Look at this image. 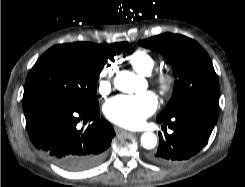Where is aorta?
I'll return each instance as SVG.
<instances>
[{
  "label": "aorta",
  "mask_w": 245,
  "mask_h": 187,
  "mask_svg": "<svg viewBox=\"0 0 245 187\" xmlns=\"http://www.w3.org/2000/svg\"><path fill=\"white\" fill-rule=\"evenodd\" d=\"M138 82V77L128 71L118 72L114 85L116 89L123 92H132L134 91L135 84ZM157 144V137L151 132L144 133L141 136V145L146 149H152Z\"/></svg>",
  "instance_id": "1"
}]
</instances>
